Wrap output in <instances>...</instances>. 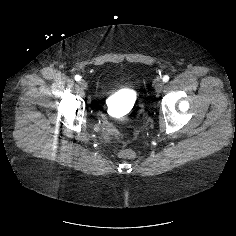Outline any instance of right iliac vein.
Here are the masks:
<instances>
[{"label": "right iliac vein", "mask_w": 236, "mask_h": 236, "mask_svg": "<svg viewBox=\"0 0 236 236\" xmlns=\"http://www.w3.org/2000/svg\"><path fill=\"white\" fill-rule=\"evenodd\" d=\"M79 85L83 88V89H87L88 87V83L85 80H80L79 81Z\"/></svg>", "instance_id": "right-iliac-vein-1"}]
</instances>
